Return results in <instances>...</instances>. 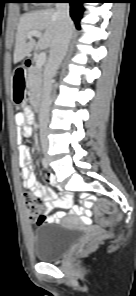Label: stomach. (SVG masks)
Returning <instances> with one entry per match:
<instances>
[{
	"label": "stomach",
	"mask_w": 136,
	"mask_h": 296,
	"mask_svg": "<svg viewBox=\"0 0 136 296\" xmlns=\"http://www.w3.org/2000/svg\"><path fill=\"white\" fill-rule=\"evenodd\" d=\"M26 85H12L10 89L11 98H13L15 105H22L24 101V94Z\"/></svg>",
	"instance_id": "0dacf381"
}]
</instances>
